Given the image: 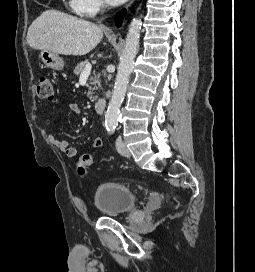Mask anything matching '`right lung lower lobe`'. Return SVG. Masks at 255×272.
<instances>
[{
  "mask_svg": "<svg viewBox=\"0 0 255 272\" xmlns=\"http://www.w3.org/2000/svg\"><path fill=\"white\" fill-rule=\"evenodd\" d=\"M125 10H122L121 12H119L116 16V19H115V22H116V25L119 27L122 23V19H123V16L125 15Z\"/></svg>",
  "mask_w": 255,
  "mask_h": 272,
  "instance_id": "right-lung-lower-lobe-1",
  "label": "right lung lower lobe"
}]
</instances>
